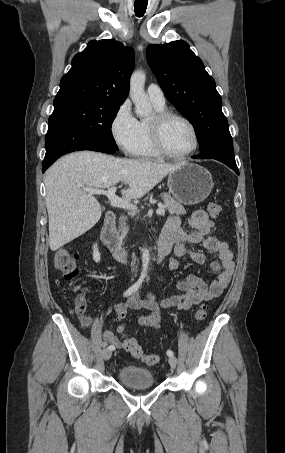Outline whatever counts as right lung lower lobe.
Masks as SVG:
<instances>
[{"instance_id":"98d812e1","label":"right lung lower lobe","mask_w":285,"mask_h":453,"mask_svg":"<svg viewBox=\"0 0 285 453\" xmlns=\"http://www.w3.org/2000/svg\"><path fill=\"white\" fill-rule=\"evenodd\" d=\"M45 147L46 154L42 164L43 173L59 157L73 151L92 150L104 153L116 152L110 148L101 146L95 140L84 135L69 122L52 116H50L48 121Z\"/></svg>"}]
</instances>
